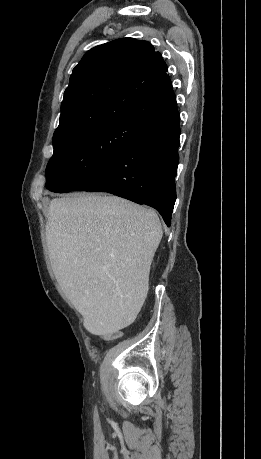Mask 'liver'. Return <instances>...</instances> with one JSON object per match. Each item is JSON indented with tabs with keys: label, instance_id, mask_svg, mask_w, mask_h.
I'll return each mask as SVG.
<instances>
[{
	"label": "liver",
	"instance_id": "1",
	"mask_svg": "<svg viewBox=\"0 0 261 459\" xmlns=\"http://www.w3.org/2000/svg\"><path fill=\"white\" fill-rule=\"evenodd\" d=\"M162 235L154 210L117 196L75 193L50 202L52 269L87 331L106 335L126 325Z\"/></svg>",
	"mask_w": 261,
	"mask_h": 459
}]
</instances>
